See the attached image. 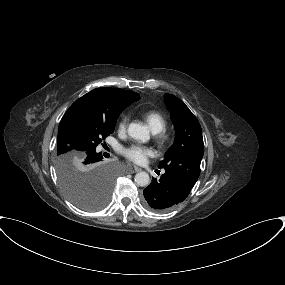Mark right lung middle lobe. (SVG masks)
<instances>
[{
    "label": "right lung middle lobe",
    "mask_w": 285,
    "mask_h": 285,
    "mask_svg": "<svg viewBox=\"0 0 285 285\" xmlns=\"http://www.w3.org/2000/svg\"><path fill=\"white\" fill-rule=\"evenodd\" d=\"M134 101H125L116 108L112 117L96 113L70 116L59 128L55 167L66 196L79 208L99 210L109 202L115 175L102 162L99 169L87 166L89 153L111 133L120 113Z\"/></svg>",
    "instance_id": "1"
}]
</instances>
